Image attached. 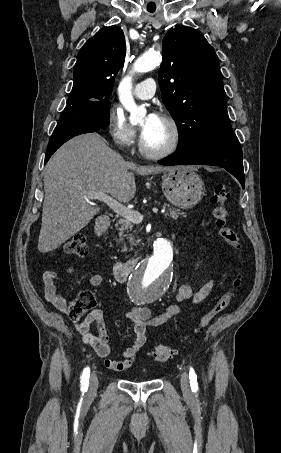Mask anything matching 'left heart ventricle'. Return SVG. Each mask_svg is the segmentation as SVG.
Returning <instances> with one entry per match:
<instances>
[{"mask_svg": "<svg viewBox=\"0 0 281 453\" xmlns=\"http://www.w3.org/2000/svg\"><path fill=\"white\" fill-rule=\"evenodd\" d=\"M145 119H141V126ZM145 144L148 149L160 151L165 149L171 142V133L169 128L159 119L143 135Z\"/></svg>", "mask_w": 281, "mask_h": 453, "instance_id": "1", "label": "left heart ventricle"}]
</instances>
